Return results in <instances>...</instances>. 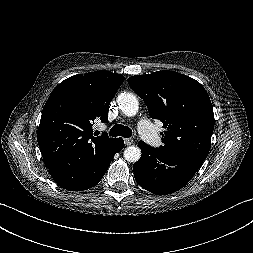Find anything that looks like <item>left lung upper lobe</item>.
<instances>
[{
  "instance_id": "left-lung-upper-lobe-1",
  "label": "left lung upper lobe",
  "mask_w": 253,
  "mask_h": 253,
  "mask_svg": "<svg viewBox=\"0 0 253 253\" xmlns=\"http://www.w3.org/2000/svg\"><path fill=\"white\" fill-rule=\"evenodd\" d=\"M144 100L149 114L163 123L160 153L174 161L188 156L207 157L214 129V113L204 87L174 72L157 71L128 78Z\"/></svg>"
}]
</instances>
